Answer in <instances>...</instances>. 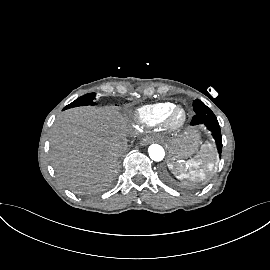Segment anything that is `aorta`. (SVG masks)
Listing matches in <instances>:
<instances>
[{
    "instance_id": "1",
    "label": "aorta",
    "mask_w": 270,
    "mask_h": 270,
    "mask_svg": "<svg viewBox=\"0 0 270 270\" xmlns=\"http://www.w3.org/2000/svg\"><path fill=\"white\" fill-rule=\"evenodd\" d=\"M148 153L150 158L155 162L162 161L165 156L164 149L159 144L150 145L148 148Z\"/></svg>"
}]
</instances>
